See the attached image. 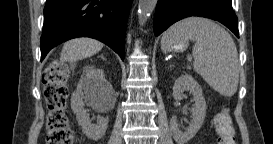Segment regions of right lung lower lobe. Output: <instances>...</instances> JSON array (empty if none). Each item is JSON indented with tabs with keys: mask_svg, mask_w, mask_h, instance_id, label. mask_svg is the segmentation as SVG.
Instances as JSON below:
<instances>
[{
	"mask_svg": "<svg viewBox=\"0 0 273 144\" xmlns=\"http://www.w3.org/2000/svg\"><path fill=\"white\" fill-rule=\"evenodd\" d=\"M133 0H47L41 60L58 44L76 37L98 39L124 60L127 19Z\"/></svg>",
	"mask_w": 273,
	"mask_h": 144,
	"instance_id": "obj_1",
	"label": "right lung lower lobe"
}]
</instances>
